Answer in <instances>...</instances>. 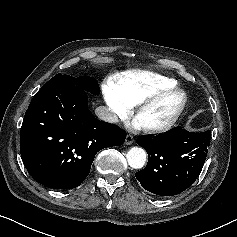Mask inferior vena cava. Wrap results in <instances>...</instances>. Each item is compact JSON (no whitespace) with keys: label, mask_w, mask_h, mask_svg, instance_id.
I'll list each match as a JSON object with an SVG mask.
<instances>
[{"label":"inferior vena cava","mask_w":237,"mask_h":237,"mask_svg":"<svg viewBox=\"0 0 237 237\" xmlns=\"http://www.w3.org/2000/svg\"><path fill=\"white\" fill-rule=\"evenodd\" d=\"M95 114L103 121L108 123L118 122L117 115L109 108L105 106H99L95 109Z\"/></svg>","instance_id":"inferior-vena-cava-1"}]
</instances>
